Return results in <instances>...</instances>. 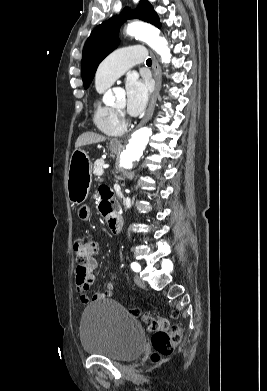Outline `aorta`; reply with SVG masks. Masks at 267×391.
<instances>
[{"mask_svg": "<svg viewBox=\"0 0 267 391\" xmlns=\"http://www.w3.org/2000/svg\"><path fill=\"white\" fill-rule=\"evenodd\" d=\"M126 34L146 42L158 55H160L162 63H170L171 52L168 43L165 38L160 36V32L157 28L143 22H133L127 26ZM105 97L111 98L112 93H106ZM151 134L152 130L148 127H142L132 134L131 139L120 154V165L123 169H131L134 163L139 160Z\"/></svg>", "mask_w": 267, "mask_h": 391, "instance_id": "aorta-1", "label": "aorta"}]
</instances>
